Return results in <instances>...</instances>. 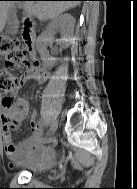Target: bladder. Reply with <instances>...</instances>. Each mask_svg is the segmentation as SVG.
Masks as SVG:
<instances>
[{
  "label": "bladder",
  "mask_w": 137,
  "mask_h": 189,
  "mask_svg": "<svg viewBox=\"0 0 137 189\" xmlns=\"http://www.w3.org/2000/svg\"><path fill=\"white\" fill-rule=\"evenodd\" d=\"M32 174H41L42 173V170L39 169V168H34V169H31L30 171Z\"/></svg>",
  "instance_id": "1"
}]
</instances>
